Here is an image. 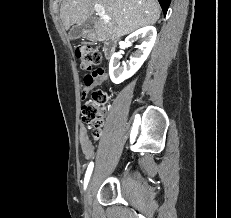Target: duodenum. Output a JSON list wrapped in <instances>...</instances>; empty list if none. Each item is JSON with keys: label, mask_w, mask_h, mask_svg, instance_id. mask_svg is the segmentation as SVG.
<instances>
[{"label": "duodenum", "mask_w": 231, "mask_h": 218, "mask_svg": "<svg viewBox=\"0 0 231 218\" xmlns=\"http://www.w3.org/2000/svg\"><path fill=\"white\" fill-rule=\"evenodd\" d=\"M93 39H102L103 37L100 34L92 33L90 34ZM117 48V39L113 37H108L105 39L104 50L108 57L113 55Z\"/></svg>", "instance_id": "1"}]
</instances>
